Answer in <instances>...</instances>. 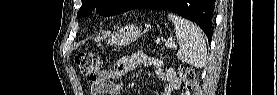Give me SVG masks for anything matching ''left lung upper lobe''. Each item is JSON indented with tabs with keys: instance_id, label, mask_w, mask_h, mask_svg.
Instances as JSON below:
<instances>
[{
	"instance_id": "obj_1",
	"label": "left lung upper lobe",
	"mask_w": 277,
	"mask_h": 95,
	"mask_svg": "<svg viewBox=\"0 0 277 95\" xmlns=\"http://www.w3.org/2000/svg\"><path fill=\"white\" fill-rule=\"evenodd\" d=\"M143 0H82V6L77 17L88 16L97 10L103 16H115L126 11L135 9ZM173 0H160L162 7L170 6Z\"/></svg>"
}]
</instances>
